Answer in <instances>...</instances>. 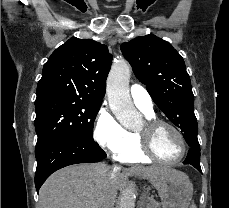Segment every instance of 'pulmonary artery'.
Returning a JSON list of instances; mask_svg holds the SVG:
<instances>
[{"mask_svg":"<svg viewBox=\"0 0 229 208\" xmlns=\"http://www.w3.org/2000/svg\"><path fill=\"white\" fill-rule=\"evenodd\" d=\"M130 95L136 107L147 114L154 113V104L147 90L141 85H133L130 88Z\"/></svg>","mask_w":229,"mask_h":208,"instance_id":"pulmonary-artery-1","label":"pulmonary artery"}]
</instances>
